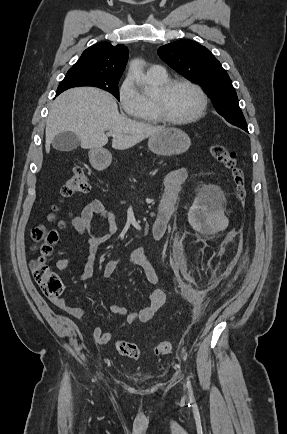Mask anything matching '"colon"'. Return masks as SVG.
Listing matches in <instances>:
<instances>
[{
    "instance_id": "5ec220e1",
    "label": "colon",
    "mask_w": 287,
    "mask_h": 434,
    "mask_svg": "<svg viewBox=\"0 0 287 434\" xmlns=\"http://www.w3.org/2000/svg\"><path fill=\"white\" fill-rule=\"evenodd\" d=\"M212 156L231 171L235 197L243 204L246 197V177L243 168L239 165L236 153L221 144L210 146ZM90 190V182L80 167L74 168L72 174L64 183L61 194L64 197L82 195ZM34 241L35 258L31 262V271L34 281L48 298H59L63 292V282L60 277L47 265V258L51 255L58 234L54 229L38 225L31 231ZM117 352L125 357L138 360L142 357L140 347L132 342L118 340L115 343ZM172 350L170 341H161L154 346L156 356L169 354Z\"/></svg>"
}]
</instances>
